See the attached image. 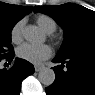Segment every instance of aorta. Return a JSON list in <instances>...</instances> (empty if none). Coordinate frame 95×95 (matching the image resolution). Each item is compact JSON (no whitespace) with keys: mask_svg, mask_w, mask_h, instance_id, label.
<instances>
[{"mask_svg":"<svg viewBox=\"0 0 95 95\" xmlns=\"http://www.w3.org/2000/svg\"><path fill=\"white\" fill-rule=\"evenodd\" d=\"M23 36L29 42H36L40 38L39 33L32 26H28L25 28V30L23 32ZM38 79L43 85L50 86L53 84V82L55 80V73H54L53 69H50L47 67L43 68L42 70H40V72L38 74Z\"/></svg>","mask_w":95,"mask_h":95,"instance_id":"762f6f07","label":"aorta"}]
</instances>
